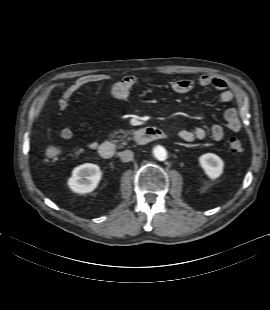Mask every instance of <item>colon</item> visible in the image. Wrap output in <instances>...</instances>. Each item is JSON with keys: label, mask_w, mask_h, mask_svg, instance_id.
Segmentation results:
<instances>
[{"label": "colon", "mask_w": 270, "mask_h": 310, "mask_svg": "<svg viewBox=\"0 0 270 310\" xmlns=\"http://www.w3.org/2000/svg\"><path fill=\"white\" fill-rule=\"evenodd\" d=\"M229 147L233 152L239 153L243 150V143L239 138H232ZM45 157L49 162H58L63 158V150L60 146H50L45 151Z\"/></svg>", "instance_id": "obj_1"}]
</instances>
